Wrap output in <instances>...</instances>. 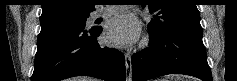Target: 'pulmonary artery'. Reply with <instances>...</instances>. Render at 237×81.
<instances>
[{"label": "pulmonary artery", "mask_w": 237, "mask_h": 81, "mask_svg": "<svg viewBox=\"0 0 237 81\" xmlns=\"http://www.w3.org/2000/svg\"><path fill=\"white\" fill-rule=\"evenodd\" d=\"M117 12H118V8L117 7H111V8H108L106 10H103V11L95 12L93 14V18L97 19V18H99L101 16L111 15V14H115Z\"/></svg>", "instance_id": "e3ab8cb5"}]
</instances>
